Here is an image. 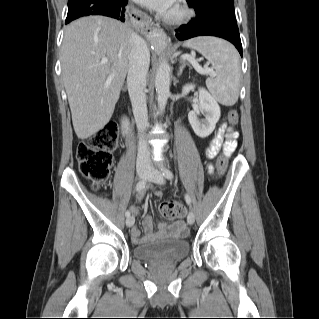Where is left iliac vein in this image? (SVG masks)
Returning a JSON list of instances; mask_svg holds the SVG:
<instances>
[{
	"label": "left iliac vein",
	"instance_id": "left-iliac-vein-1",
	"mask_svg": "<svg viewBox=\"0 0 319 319\" xmlns=\"http://www.w3.org/2000/svg\"><path fill=\"white\" fill-rule=\"evenodd\" d=\"M150 181L156 183V184H164L165 180H164V177L163 175L160 173V172H156V171H151L150 173ZM195 221V215L192 211H190L188 213V216H187V222L192 225Z\"/></svg>",
	"mask_w": 319,
	"mask_h": 319
}]
</instances>
